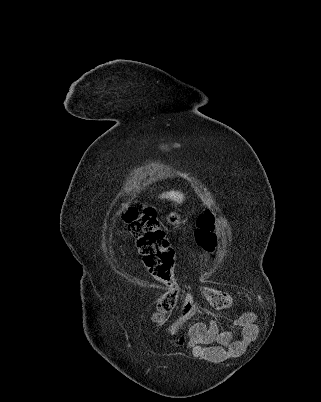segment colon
<instances>
[{
	"label": "colon",
	"instance_id": "obj_1",
	"mask_svg": "<svg viewBox=\"0 0 321 402\" xmlns=\"http://www.w3.org/2000/svg\"><path fill=\"white\" fill-rule=\"evenodd\" d=\"M123 220L136 241L149 273L167 287V291L157 299L154 315L156 321H162L166 315L174 311L178 303V289L173 279L174 248L160 227L157 212L153 207L130 206L124 211ZM214 229L215 216L212 211H205L198 216L195 240L202 250L211 255L215 253L217 247ZM200 291L217 310H227L233 305L232 296L227 291L211 289L209 285H202Z\"/></svg>",
	"mask_w": 321,
	"mask_h": 402
}]
</instances>
